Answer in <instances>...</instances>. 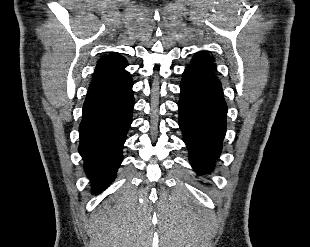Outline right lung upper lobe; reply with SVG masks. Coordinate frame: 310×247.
<instances>
[{
	"label": "right lung upper lobe",
	"mask_w": 310,
	"mask_h": 247,
	"mask_svg": "<svg viewBox=\"0 0 310 247\" xmlns=\"http://www.w3.org/2000/svg\"><path fill=\"white\" fill-rule=\"evenodd\" d=\"M126 59L119 54L102 57L96 65L89 88L123 84L131 81L130 74L125 70Z\"/></svg>",
	"instance_id": "obj_1"
}]
</instances>
